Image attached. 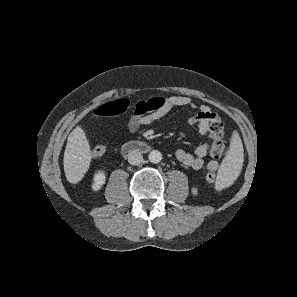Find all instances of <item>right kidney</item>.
I'll list each match as a JSON object with an SVG mask.
<instances>
[{
  "label": "right kidney",
  "instance_id": "obj_1",
  "mask_svg": "<svg viewBox=\"0 0 297 297\" xmlns=\"http://www.w3.org/2000/svg\"><path fill=\"white\" fill-rule=\"evenodd\" d=\"M106 176L102 171H98L95 173L93 177V190L98 191L105 184Z\"/></svg>",
  "mask_w": 297,
  "mask_h": 297
}]
</instances>
